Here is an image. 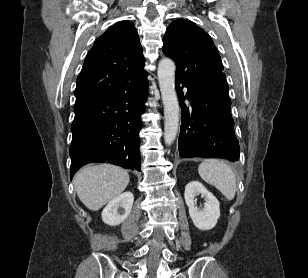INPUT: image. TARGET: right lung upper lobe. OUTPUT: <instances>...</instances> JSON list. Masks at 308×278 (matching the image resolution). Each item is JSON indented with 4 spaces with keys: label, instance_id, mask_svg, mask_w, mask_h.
<instances>
[{
    "label": "right lung upper lobe",
    "instance_id": "1",
    "mask_svg": "<svg viewBox=\"0 0 308 278\" xmlns=\"http://www.w3.org/2000/svg\"><path fill=\"white\" fill-rule=\"evenodd\" d=\"M138 33L127 20L95 40L76 80L75 105L112 97L135 87L147 76Z\"/></svg>",
    "mask_w": 308,
    "mask_h": 278
}]
</instances>
